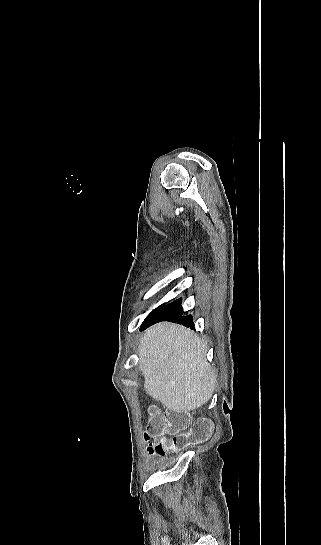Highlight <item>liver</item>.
Masks as SVG:
<instances>
[{
    "label": "liver",
    "instance_id": "6515ba94",
    "mask_svg": "<svg viewBox=\"0 0 321 545\" xmlns=\"http://www.w3.org/2000/svg\"><path fill=\"white\" fill-rule=\"evenodd\" d=\"M145 391L176 413H189L211 399L216 383L206 361L207 345L190 329L158 323L139 345Z\"/></svg>",
    "mask_w": 321,
    "mask_h": 545
}]
</instances>
